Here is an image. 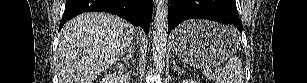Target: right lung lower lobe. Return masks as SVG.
Returning <instances> with one entry per match:
<instances>
[{
    "mask_svg": "<svg viewBox=\"0 0 307 83\" xmlns=\"http://www.w3.org/2000/svg\"><path fill=\"white\" fill-rule=\"evenodd\" d=\"M109 12L143 28L148 33L152 17V0H67L59 29L83 12Z\"/></svg>",
    "mask_w": 307,
    "mask_h": 83,
    "instance_id": "obj_1",
    "label": "right lung lower lobe"
}]
</instances>
